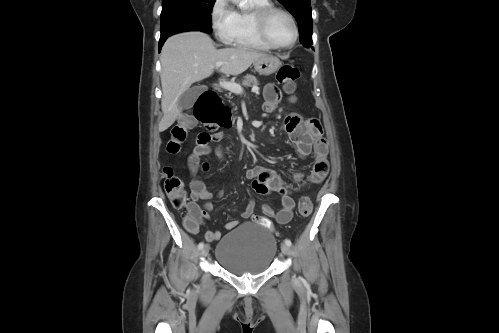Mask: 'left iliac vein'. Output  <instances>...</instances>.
I'll use <instances>...</instances> for the list:
<instances>
[{"instance_id":"4c4485c4","label":"left iliac vein","mask_w":499,"mask_h":333,"mask_svg":"<svg viewBox=\"0 0 499 333\" xmlns=\"http://www.w3.org/2000/svg\"><path fill=\"white\" fill-rule=\"evenodd\" d=\"M281 251L284 255H289L290 254V247L287 244L282 243L281 244Z\"/></svg>"}]
</instances>
